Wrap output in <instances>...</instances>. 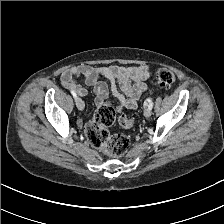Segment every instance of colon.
Masks as SVG:
<instances>
[{"label": "colon", "mask_w": 224, "mask_h": 224, "mask_svg": "<svg viewBox=\"0 0 224 224\" xmlns=\"http://www.w3.org/2000/svg\"><path fill=\"white\" fill-rule=\"evenodd\" d=\"M156 82L164 88H171L176 82L174 73L162 68L156 72ZM116 122L115 110L109 105L100 106L94 113L93 119L85 126V135L91 145L101 148L107 155L112 157L122 156L128 149L130 139L123 134H111L108 127ZM118 124L129 129L133 127V118L125 114L117 118Z\"/></svg>", "instance_id": "5ec220e1"}]
</instances>
